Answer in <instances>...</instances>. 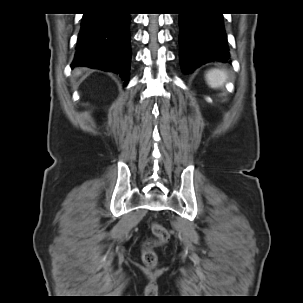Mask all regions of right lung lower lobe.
I'll list each match as a JSON object with an SVG mask.
<instances>
[{
  "instance_id": "1",
  "label": "right lung lower lobe",
  "mask_w": 303,
  "mask_h": 303,
  "mask_svg": "<svg viewBox=\"0 0 303 303\" xmlns=\"http://www.w3.org/2000/svg\"><path fill=\"white\" fill-rule=\"evenodd\" d=\"M126 13L84 14L71 67L87 66L119 74L129 80L131 62L130 25Z\"/></svg>"
}]
</instances>
